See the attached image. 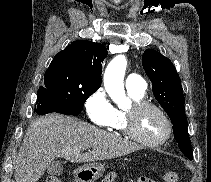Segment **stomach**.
<instances>
[{
    "label": "stomach",
    "mask_w": 211,
    "mask_h": 182,
    "mask_svg": "<svg viewBox=\"0 0 211 182\" xmlns=\"http://www.w3.org/2000/svg\"><path fill=\"white\" fill-rule=\"evenodd\" d=\"M105 167L101 163H89L77 168L74 172L76 182H95L103 176Z\"/></svg>",
    "instance_id": "1"
}]
</instances>
